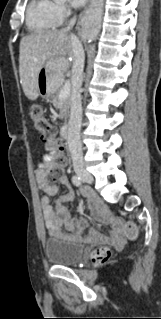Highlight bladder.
<instances>
[{
	"label": "bladder",
	"instance_id": "31cf9c89",
	"mask_svg": "<svg viewBox=\"0 0 161 319\" xmlns=\"http://www.w3.org/2000/svg\"><path fill=\"white\" fill-rule=\"evenodd\" d=\"M43 251L47 261L55 266L77 264L85 254L83 243L68 237H48L43 244Z\"/></svg>",
	"mask_w": 161,
	"mask_h": 319
}]
</instances>
